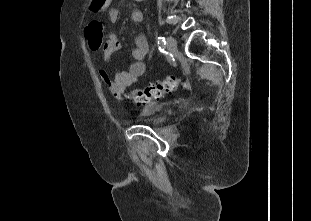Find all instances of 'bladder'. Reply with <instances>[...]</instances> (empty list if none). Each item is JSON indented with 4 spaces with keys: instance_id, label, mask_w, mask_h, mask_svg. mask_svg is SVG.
<instances>
[{
    "instance_id": "31cf9c89",
    "label": "bladder",
    "mask_w": 311,
    "mask_h": 221,
    "mask_svg": "<svg viewBox=\"0 0 311 221\" xmlns=\"http://www.w3.org/2000/svg\"><path fill=\"white\" fill-rule=\"evenodd\" d=\"M166 104H158L155 108H144V115H149L144 118L134 119V122L140 125H146L149 127H161L165 122V117L158 116Z\"/></svg>"
}]
</instances>
